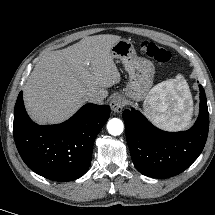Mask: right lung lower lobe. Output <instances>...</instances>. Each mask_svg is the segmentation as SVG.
<instances>
[{"instance_id":"obj_1","label":"right lung lower lobe","mask_w":215,"mask_h":215,"mask_svg":"<svg viewBox=\"0 0 215 215\" xmlns=\"http://www.w3.org/2000/svg\"><path fill=\"white\" fill-rule=\"evenodd\" d=\"M109 116L108 105L89 103L61 124L39 126L27 115L20 92L13 123L18 152L31 170L47 179L75 180L89 169L94 140Z\"/></svg>"}]
</instances>
